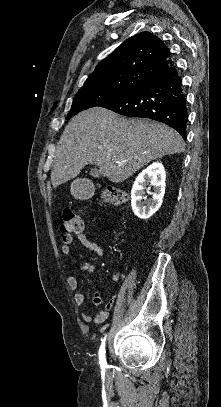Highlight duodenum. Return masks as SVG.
Masks as SVG:
<instances>
[{
	"mask_svg": "<svg viewBox=\"0 0 221 407\" xmlns=\"http://www.w3.org/2000/svg\"><path fill=\"white\" fill-rule=\"evenodd\" d=\"M92 192H93V189H92V188H88L87 191H86V195H87V196H90Z\"/></svg>",
	"mask_w": 221,
	"mask_h": 407,
	"instance_id": "1",
	"label": "duodenum"
}]
</instances>
